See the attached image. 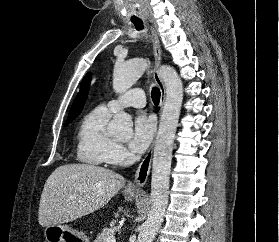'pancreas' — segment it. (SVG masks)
<instances>
[{"instance_id":"cf45deb5","label":"pancreas","mask_w":279,"mask_h":242,"mask_svg":"<svg viewBox=\"0 0 279 242\" xmlns=\"http://www.w3.org/2000/svg\"><path fill=\"white\" fill-rule=\"evenodd\" d=\"M115 232V228H105L103 231L97 235L94 242H106V239L113 235Z\"/></svg>"}]
</instances>
